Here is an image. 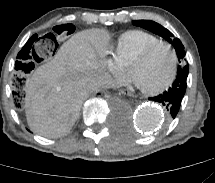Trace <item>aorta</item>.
<instances>
[{
	"label": "aorta",
	"instance_id": "aorta-1",
	"mask_svg": "<svg viewBox=\"0 0 215 183\" xmlns=\"http://www.w3.org/2000/svg\"><path fill=\"white\" fill-rule=\"evenodd\" d=\"M163 111L156 105L143 104L135 111L136 126L144 131L157 129L163 121Z\"/></svg>",
	"mask_w": 215,
	"mask_h": 183
}]
</instances>
